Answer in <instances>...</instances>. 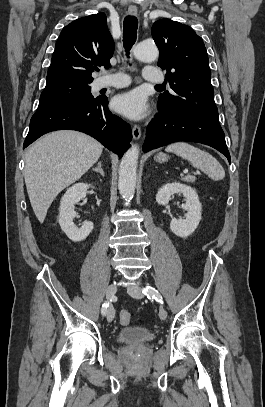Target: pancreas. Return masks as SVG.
I'll return each mask as SVG.
<instances>
[{"label":"pancreas","mask_w":265,"mask_h":407,"mask_svg":"<svg viewBox=\"0 0 265 407\" xmlns=\"http://www.w3.org/2000/svg\"><path fill=\"white\" fill-rule=\"evenodd\" d=\"M182 180L185 182L194 183L196 181V178L192 175H187V176L183 177Z\"/></svg>","instance_id":"pancreas-1"}]
</instances>
